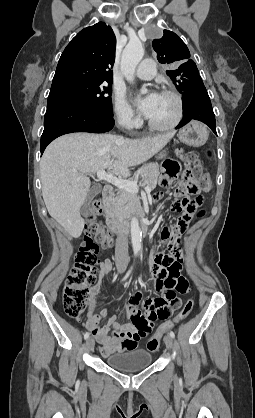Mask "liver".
Returning a JSON list of instances; mask_svg holds the SVG:
<instances>
[{"label": "liver", "instance_id": "obj_1", "mask_svg": "<svg viewBox=\"0 0 255 418\" xmlns=\"http://www.w3.org/2000/svg\"><path fill=\"white\" fill-rule=\"evenodd\" d=\"M175 132L143 139H127L112 134L72 133L54 140L42 156L40 178L46 208L72 237L84 228L80 208L90 189L88 174L99 170L118 176L130 175L162 150Z\"/></svg>", "mask_w": 255, "mask_h": 418}]
</instances>
